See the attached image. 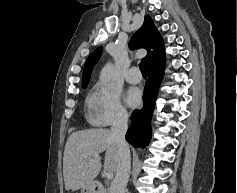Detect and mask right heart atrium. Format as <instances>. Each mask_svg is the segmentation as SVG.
Listing matches in <instances>:
<instances>
[{"label":"right heart atrium","mask_w":237,"mask_h":193,"mask_svg":"<svg viewBox=\"0 0 237 193\" xmlns=\"http://www.w3.org/2000/svg\"><path fill=\"white\" fill-rule=\"evenodd\" d=\"M90 119L99 126L125 123L128 120V111L122 104L117 89L97 84L88 97Z\"/></svg>","instance_id":"d8ad5b80"}]
</instances>
